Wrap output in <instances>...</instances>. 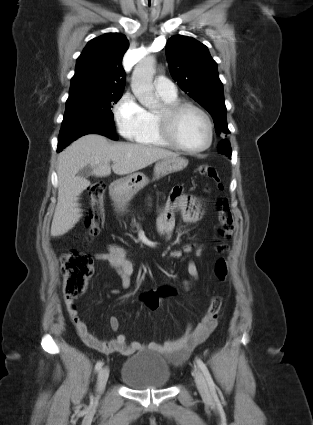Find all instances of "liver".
Returning a JSON list of instances; mask_svg holds the SVG:
<instances>
[{
	"label": "liver",
	"mask_w": 313,
	"mask_h": 425,
	"mask_svg": "<svg viewBox=\"0 0 313 425\" xmlns=\"http://www.w3.org/2000/svg\"><path fill=\"white\" fill-rule=\"evenodd\" d=\"M173 157H178V154L141 144L109 143L105 137L98 134H88L77 139L58 156V201L52 220L51 236L64 235L82 217L78 197L90 182L76 175L85 166H90L96 177L109 176L111 170L117 175H127L156 161ZM114 159L118 161L110 166V161Z\"/></svg>",
	"instance_id": "liver-1"
}]
</instances>
